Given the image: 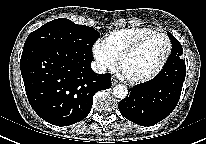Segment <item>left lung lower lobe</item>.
<instances>
[{"label":"left lung lower lobe","mask_w":206,"mask_h":144,"mask_svg":"<svg viewBox=\"0 0 206 144\" xmlns=\"http://www.w3.org/2000/svg\"><path fill=\"white\" fill-rule=\"evenodd\" d=\"M186 75L185 62L171 58L151 81L130 89L118 108L122 116L141 125L152 126L176 107Z\"/></svg>","instance_id":"left-lung-lower-lobe-1"}]
</instances>
